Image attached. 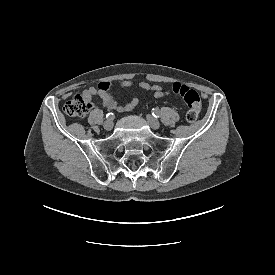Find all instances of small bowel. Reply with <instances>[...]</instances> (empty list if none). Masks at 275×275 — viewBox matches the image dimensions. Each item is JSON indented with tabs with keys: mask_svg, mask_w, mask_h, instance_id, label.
<instances>
[{
	"mask_svg": "<svg viewBox=\"0 0 275 275\" xmlns=\"http://www.w3.org/2000/svg\"><path fill=\"white\" fill-rule=\"evenodd\" d=\"M133 85L131 80H123L120 83L122 88H128ZM139 88L145 91L152 92L155 98H161L164 96L165 92L161 85L153 84L148 81H141L138 83ZM112 88V82L103 81L98 84V86H91L84 90L83 95L85 97L92 98L93 96H99L103 101V106L109 109L116 110L118 112H125L133 110L139 103V98L134 97L126 105H118L117 98L114 94L110 92Z\"/></svg>",
	"mask_w": 275,
	"mask_h": 275,
	"instance_id": "c3829d8e",
	"label": "small bowel"
}]
</instances>
